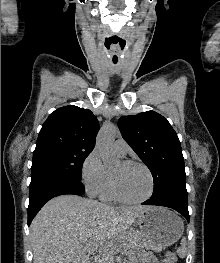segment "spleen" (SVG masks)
<instances>
[{"label":"spleen","instance_id":"spleen-1","mask_svg":"<svg viewBox=\"0 0 220 263\" xmlns=\"http://www.w3.org/2000/svg\"><path fill=\"white\" fill-rule=\"evenodd\" d=\"M186 244H187L186 238H182L181 243H180L181 246L178 249V254L181 257H184L186 254Z\"/></svg>","mask_w":220,"mask_h":263}]
</instances>
